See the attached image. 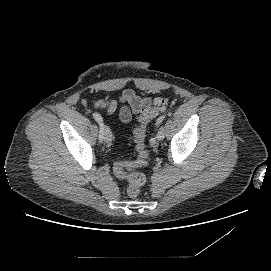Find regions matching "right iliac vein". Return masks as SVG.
<instances>
[{
	"instance_id": "63e3f726",
	"label": "right iliac vein",
	"mask_w": 271,
	"mask_h": 271,
	"mask_svg": "<svg viewBox=\"0 0 271 271\" xmlns=\"http://www.w3.org/2000/svg\"><path fill=\"white\" fill-rule=\"evenodd\" d=\"M103 139L106 143H110L112 139L111 130L106 125H103Z\"/></svg>"
}]
</instances>
